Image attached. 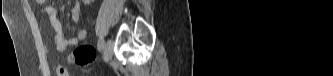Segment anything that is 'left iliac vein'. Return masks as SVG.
<instances>
[{
    "mask_svg": "<svg viewBox=\"0 0 333 76\" xmlns=\"http://www.w3.org/2000/svg\"><path fill=\"white\" fill-rule=\"evenodd\" d=\"M113 54V41L111 39L107 40L103 47V59L104 61H109Z\"/></svg>",
    "mask_w": 333,
    "mask_h": 76,
    "instance_id": "left-iliac-vein-1",
    "label": "left iliac vein"
}]
</instances>
